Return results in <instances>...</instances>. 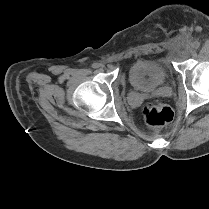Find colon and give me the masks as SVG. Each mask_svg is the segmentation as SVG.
I'll list each match as a JSON object with an SVG mask.
<instances>
[{
	"label": "colon",
	"mask_w": 209,
	"mask_h": 209,
	"mask_svg": "<svg viewBox=\"0 0 209 209\" xmlns=\"http://www.w3.org/2000/svg\"><path fill=\"white\" fill-rule=\"evenodd\" d=\"M174 117L173 110L164 104H148L143 110V118L147 125L162 127L169 124Z\"/></svg>",
	"instance_id": "5ec220e1"
}]
</instances>
